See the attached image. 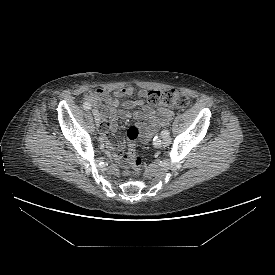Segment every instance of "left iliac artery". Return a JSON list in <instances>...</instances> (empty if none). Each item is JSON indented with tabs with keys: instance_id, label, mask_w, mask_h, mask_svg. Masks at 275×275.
<instances>
[{
	"instance_id": "obj_1",
	"label": "left iliac artery",
	"mask_w": 275,
	"mask_h": 275,
	"mask_svg": "<svg viewBox=\"0 0 275 275\" xmlns=\"http://www.w3.org/2000/svg\"><path fill=\"white\" fill-rule=\"evenodd\" d=\"M170 135V132L168 131V130H163L162 132H161V136H165V137H167V136H169Z\"/></svg>"
}]
</instances>
